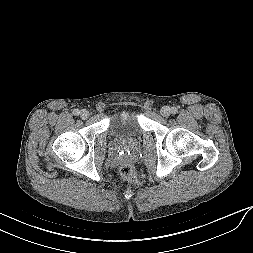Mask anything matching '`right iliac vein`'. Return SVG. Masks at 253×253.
Listing matches in <instances>:
<instances>
[{
    "mask_svg": "<svg viewBox=\"0 0 253 253\" xmlns=\"http://www.w3.org/2000/svg\"><path fill=\"white\" fill-rule=\"evenodd\" d=\"M80 117L84 120L87 119L89 117V112L86 109H82L80 111Z\"/></svg>",
    "mask_w": 253,
    "mask_h": 253,
    "instance_id": "obj_1",
    "label": "right iliac vein"
}]
</instances>
